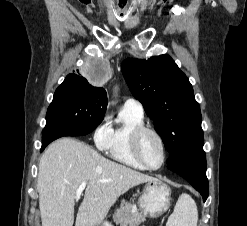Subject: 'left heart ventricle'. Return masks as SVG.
<instances>
[{"instance_id": "b2bd125f", "label": "left heart ventricle", "mask_w": 247, "mask_h": 226, "mask_svg": "<svg viewBox=\"0 0 247 226\" xmlns=\"http://www.w3.org/2000/svg\"><path fill=\"white\" fill-rule=\"evenodd\" d=\"M139 150L144 161L150 166H157L162 159L159 140L152 133H144L139 141Z\"/></svg>"}]
</instances>
